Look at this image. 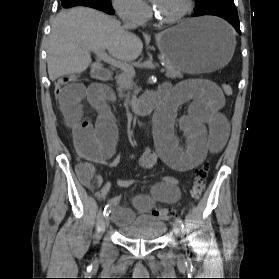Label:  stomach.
<instances>
[{
    "label": "stomach",
    "instance_id": "1",
    "mask_svg": "<svg viewBox=\"0 0 279 279\" xmlns=\"http://www.w3.org/2000/svg\"><path fill=\"white\" fill-rule=\"evenodd\" d=\"M231 29L211 17L190 19L157 35L162 56L182 72L199 74L225 69L235 49Z\"/></svg>",
    "mask_w": 279,
    "mask_h": 279
}]
</instances>
